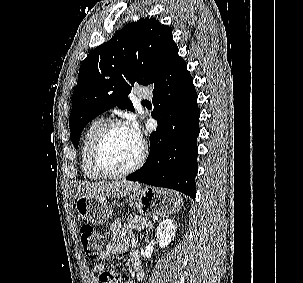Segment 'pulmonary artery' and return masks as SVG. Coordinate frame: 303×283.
Wrapping results in <instances>:
<instances>
[{
	"mask_svg": "<svg viewBox=\"0 0 303 283\" xmlns=\"http://www.w3.org/2000/svg\"><path fill=\"white\" fill-rule=\"evenodd\" d=\"M136 95H137L139 98L148 99V98H151V97H152V92H151L150 89H148V88L140 87V88H138V90L136 91Z\"/></svg>",
	"mask_w": 303,
	"mask_h": 283,
	"instance_id": "1",
	"label": "pulmonary artery"
}]
</instances>
